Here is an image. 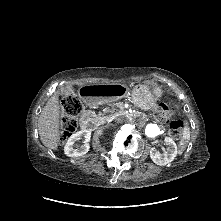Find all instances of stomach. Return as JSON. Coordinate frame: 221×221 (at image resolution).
<instances>
[{"instance_id":"0dacf381","label":"stomach","mask_w":221,"mask_h":221,"mask_svg":"<svg viewBox=\"0 0 221 221\" xmlns=\"http://www.w3.org/2000/svg\"><path fill=\"white\" fill-rule=\"evenodd\" d=\"M162 95V90L156 85L139 84L131 91V101L142 108H149Z\"/></svg>"}]
</instances>
